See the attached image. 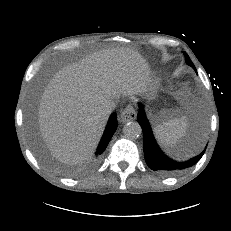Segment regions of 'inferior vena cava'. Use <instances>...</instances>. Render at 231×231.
Wrapping results in <instances>:
<instances>
[{
	"instance_id": "602c4592",
	"label": "inferior vena cava",
	"mask_w": 231,
	"mask_h": 231,
	"mask_svg": "<svg viewBox=\"0 0 231 231\" xmlns=\"http://www.w3.org/2000/svg\"><path fill=\"white\" fill-rule=\"evenodd\" d=\"M116 104H117L116 100L109 101L105 106L107 113H111L112 110L116 107Z\"/></svg>"
}]
</instances>
